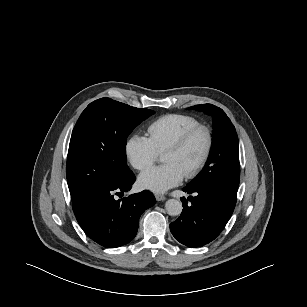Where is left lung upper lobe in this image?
Wrapping results in <instances>:
<instances>
[{
    "mask_svg": "<svg viewBox=\"0 0 307 307\" xmlns=\"http://www.w3.org/2000/svg\"><path fill=\"white\" fill-rule=\"evenodd\" d=\"M194 108L212 116L214 133L206 165L188 186H212L236 201L240 165L235 127L225 112L214 105H196Z\"/></svg>",
    "mask_w": 307,
    "mask_h": 307,
    "instance_id": "left-lung-upper-lobe-1",
    "label": "left lung upper lobe"
}]
</instances>
